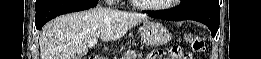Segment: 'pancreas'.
Returning a JSON list of instances; mask_svg holds the SVG:
<instances>
[{
	"label": "pancreas",
	"mask_w": 261,
	"mask_h": 59,
	"mask_svg": "<svg viewBox=\"0 0 261 59\" xmlns=\"http://www.w3.org/2000/svg\"><path fill=\"white\" fill-rule=\"evenodd\" d=\"M137 57L142 58V55L134 50H128L121 59H136Z\"/></svg>",
	"instance_id": "1"
}]
</instances>
